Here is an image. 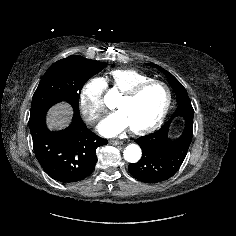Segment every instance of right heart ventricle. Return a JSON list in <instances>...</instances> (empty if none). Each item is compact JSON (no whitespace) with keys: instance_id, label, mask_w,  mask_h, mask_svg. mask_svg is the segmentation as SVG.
I'll use <instances>...</instances> for the list:
<instances>
[{"instance_id":"right-heart-ventricle-1","label":"right heart ventricle","mask_w":236,"mask_h":236,"mask_svg":"<svg viewBox=\"0 0 236 236\" xmlns=\"http://www.w3.org/2000/svg\"><path fill=\"white\" fill-rule=\"evenodd\" d=\"M152 77L147 74L130 68H119L112 70L106 78L103 79L105 88L117 91L123 94L131 90L136 85L151 80Z\"/></svg>"}]
</instances>
